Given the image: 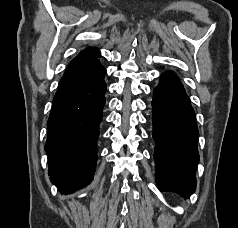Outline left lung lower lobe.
<instances>
[{"label": "left lung lower lobe", "mask_w": 238, "mask_h": 228, "mask_svg": "<svg viewBox=\"0 0 238 228\" xmlns=\"http://www.w3.org/2000/svg\"><path fill=\"white\" fill-rule=\"evenodd\" d=\"M152 109L157 187L189 197L196 188L199 133L190 99L173 72L161 75Z\"/></svg>", "instance_id": "obj_1"}]
</instances>
